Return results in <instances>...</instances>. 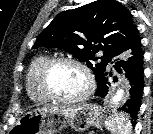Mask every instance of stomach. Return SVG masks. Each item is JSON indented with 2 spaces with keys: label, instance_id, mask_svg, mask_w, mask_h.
<instances>
[{
  "label": "stomach",
  "instance_id": "0dacf381",
  "mask_svg": "<svg viewBox=\"0 0 153 134\" xmlns=\"http://www.w3.org/2000/svg\"><path fill=\"white\" fill-rule=\"evenodd\" d=\"M100 108L83 103L73 107H44L26 112L18 119L13 134H56L67 126L84 131L90 126H101Z\"/></svg>",
  "mask_w": 153,
  "mask_h": 134
}]
</instances>
